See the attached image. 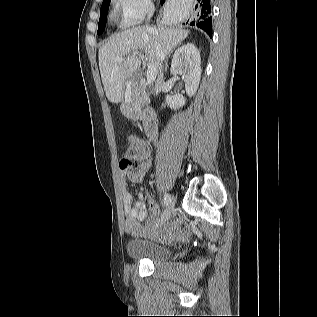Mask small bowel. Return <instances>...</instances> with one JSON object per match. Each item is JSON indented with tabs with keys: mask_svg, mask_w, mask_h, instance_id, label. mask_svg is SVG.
Wrapping results in <instances>:
<instances>
[{
	"mask_svg": "<svg viewBox=\"0 0 317 317\" xmlns=\"http://www.w3.org/2000/svg\"><path fill=\"white\" fill-rule=\"evenodd\" d=\"M138 147L141 151V156L145 163V171H147L150 167L149 148L143 142H138ZM128 182L129 180L127 174L122 173L125 230L128 234L136 236L143 232L146 228L155 226L154 217L159 214V207L153 200H149V207L153 217L148 220L145 227H142L138 222L144 220L147 215L144 203V196L142 194H139L138 198L133 200L131 194L126 190ZM189 234V228H182L178 221H171L167 222L158 231H156L154 233V236L161 240H173L176 238L185 237Z\"/></svg>",
	"mask_w": 317,
	"mask_h": 317,
	"instance_id": "obj_1",
	"label": "small bowel"
}]
</instances>
